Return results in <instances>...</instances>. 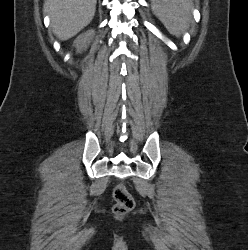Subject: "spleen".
I'll return each instance as SVG.
<instances>
[{"label": "spleen", "instance_id": "1", "mask_svg": "<svg viewBox=\"0 0 248 250\" xmlns=\"http://www.w3.org/2000/svg\"><path fill=\"white\" fill-rule=\"evenodd\" d=\"M152 11L172 35L179 37L192 20V0H151Z\"/></svg>", "mask_w": 248, "mask_h": 250}]
</instances>
